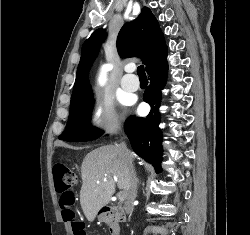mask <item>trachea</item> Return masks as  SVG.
Instances as JSON below:
<instances>
[{
  "mask_svg": "<svg viewBox=\"0 0 250 235\" xmlns=\"http://www.w3.org/2000/svg\"><path fill=\"white\" fill-rule=\"evenodd\" d=\"M137 74L139 78H146V73L143 65L138 66L137 68Z\"/></svg>",
  "mask_w": 250,
  "mask_h": 235,
  "instance_id": "3493384b",
  "label": "trachea"
}]
</instances>
